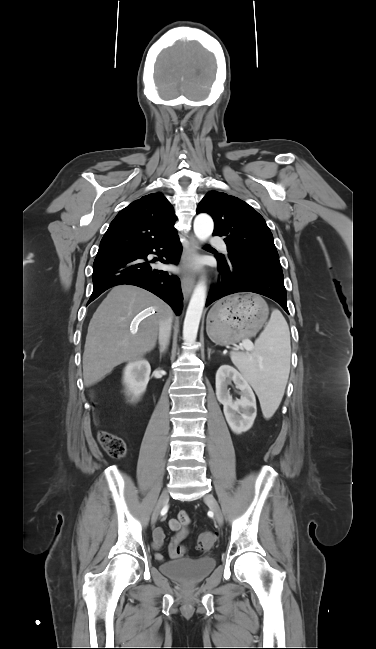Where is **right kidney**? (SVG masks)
I'll return each mask as SVG.
<instances>
[{
  "instance_id": "1",
  "label": "right kidney",
  "mask_w": 376,
  "mask_h": 649,
  "mask_svg": "<svg viewBox=\"0 0 376 649\" xmlns=\"http://www.w3.org/2000/svg\"><path fill=\"white\" fill-rule=\"evenodd\" d=\"M150 373V364L145 359L129 362L124 368L123 384L125 385L126 395L131 396L132 401L138 400L145 392Z\"/></svg>"
}]
</instances>
